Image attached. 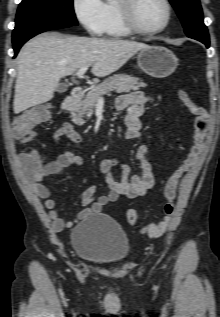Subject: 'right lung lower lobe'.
I'll use <instances>...</instances> for the list:
<instances>
[{
	"label": "right lung lower lobe",
	"mask_w": 220,
	"mask_h": 317,
	"mask_svg": "<svg viewBox=\"0 0 220 317\" xmlns=\"http://www.w3.org/2000/svg\"><path fill=\"white\" fill-rule=\"evenodd\" d=\"M70 26L71 25L64 24V23H45V24H40V25L30 27L26 29L25 31H23L22 33H20L19 35L13 36V49L15 51V56L17 55L21 46L33 36L39 33H42L44 31L59 29V28H66Z\"/></svg>",
	"instance_id": "1"
}]
</instances>
